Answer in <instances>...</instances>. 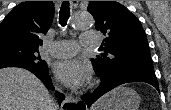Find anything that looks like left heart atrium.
Here are the masks:
<instances>
[{
	"label": "left heart atrium",
	"mask_w": 171,
	"mask_h": 110,
	"mask_svg": "<svg viewBox=\"0 0 171 110\" xmlns=\"http://www.w3.org/2000/svg\"><path fill=\"white\" fill-rule=\"evenodd\" d=\"M53 69L58 80L73 89L82 87L90 78L89 66L77 58L58 61Z\"/></svg>",
	"instance_id": "1"
}]
</instances>
